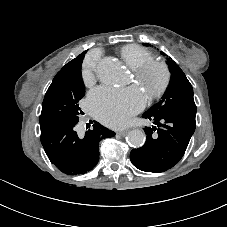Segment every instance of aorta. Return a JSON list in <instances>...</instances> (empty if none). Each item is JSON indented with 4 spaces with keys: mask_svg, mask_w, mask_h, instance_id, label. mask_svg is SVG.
I'll list each match as a JSON object with an SVG mask.
<instances>
[{
    "mask_svg": "<svg viewBox=\"0 0 227 227\" xmlns=\"http://www.w3.org/2000/svg\"><path fill=\"white\" fill-rule=\"evenodd\" d=\"M97 77L105 84H117L123 74L120 62L114 57H105L97 65ZM128 144L132 147H141L146 140L145 133L134 129L128 132L126 136Z\"/></svg>",
    "mask_w": 227,
    "mask_h": 227,
    "instance_id": "aorta-1",
    "label": "aorta"
}]
</instances>
